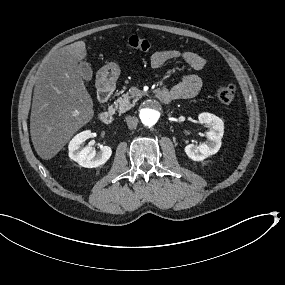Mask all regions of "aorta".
I'll return each instance as SVG.
<instances>
[{
    "label": "aorta",
    "instance_id": "762f6f07",
    "mask_svg": "<svg viewBox=\"0 0 285 285\" xmlns=\"http://www.w3.org/2000/svg\"><path fill=\"white\" fill-rule=\"evenodd\" d=\"M138 117L144 125L155 127L163 121L165 110L159 102L148 100L140 106Z\"/></svg>",
    "mask_w": 285,
    "mask_h": 285
}]
</instances>
